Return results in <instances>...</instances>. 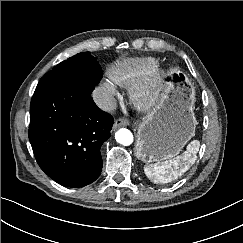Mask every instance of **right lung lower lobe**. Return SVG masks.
Instances as JSON below:
<instances>
[{"label": "right lung lower lobe", "instance_id": "obj_1", "mask_svg": "<svg viewBox=\"0 0 243 243\" xmlns=\"http://www.w3.org/2000/svg\"><path fill=\"white\" fill-rule=\"evenodd\" d=\"M97 84H38L30 105L29 140L40 168L67 187L94 182L102 170L100 148L113 117L91 93Z\"/></svg>", "mask_w": 243, "mask_h": 243}]
</instances>
